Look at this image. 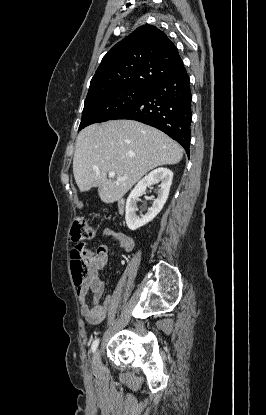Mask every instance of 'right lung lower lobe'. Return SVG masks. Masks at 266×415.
<instances>
[{"label": "right lung lower lobe", "instance_id": "98d812e1", "mask_svg": "<svg viewBox=\"0 0 266 415\" xmlns=\"http://www.w3.org/2000/svg\"><path fill=\"white\" fill-rule=\"evenodd\" d=\"M191 90L186 69L154 84L137 103L110 120L131 119L151 125L179 142L189 156L191 138Z\"/></svg>", "mask_w": 266, "mask_h": 415}]
</instances>
